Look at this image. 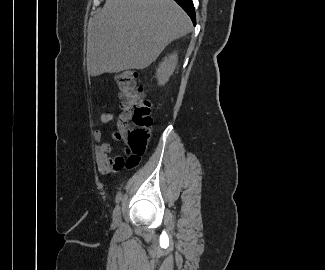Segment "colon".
<instances>
[{
    "label": "colon",
    "instance_id": "1",
    "mask_svg": "<svg viewBox=\"0 0 325 270\" xmlns=\"http://www.w3.org/2000/svg\"><path fill=\"white\" fill-rule=\"evenodd\" d=\"M120 107L115 139L126 146L127 167H136L145 153L152 125L151 103L144 98L138 74L133 70L116 76Z\"/></svg>",
    "mask_w": 325,
    "mask_h": 270
}]
</instances>
